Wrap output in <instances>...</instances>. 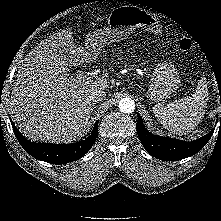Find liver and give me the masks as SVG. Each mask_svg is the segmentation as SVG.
Instances as JSON below:
<instances>
[{"mask_svg": "<svg viewBox=\"0 0 221 221\" xmlns=\"http://www.w3.org/2000/svg\"><path fill=\"white\" fill-rule=\"evenodd\" d=\"M64 50L71 55L68 62ZM95 57L83 47L77 48L68 30L55 33L30 51L17 73L10 102L13 121L26 137L64 143L86 131L93 111L90 93L107 89L109 79L71 82L68 67Z\"/></svg>", "mask_w": 221, "mask_h": 221, "instance_id": "1", "label": "liver"}]
</instances>
